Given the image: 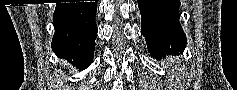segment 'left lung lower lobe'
Here are the masks:
<instances>
[{
  "label": "left lung lower lobe",
  "mask_w": 237,
  "mask_h": 90,
  "mask_svg": "<svg viewBox=\"0 0 237 90\" xmlns=\"http://www.w3.org/2000/svg\"><path fill=\"white\" fill-rule=\"evenodd\" d=\"M179 0H138L141 32L153 57L183 52L187 40L179 23Z\"/></svg>",
  "instance_id": "0a47b994"
}]
</instances>
